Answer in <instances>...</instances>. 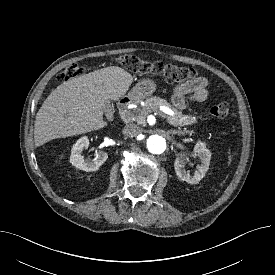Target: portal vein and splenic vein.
<instances>
[{"instance_id":"1","label":"portal vein and splenic vein","mask_w":275,"mask_h":275,"mask_svg":"<svg viewBox=\"0 0 275 275\" xmlns=\"http://www.w3.org/2000/svg\"><path fill=\"white\" fill-rule=\"evenodd\" d=\"M161 110L165 113V114H168V115H172L173 114V111L171 109H168L166 107H162ZM161 117L165 118L164 115L162 114H159Z\"/></svg>"}]
</instances>
